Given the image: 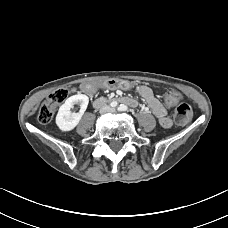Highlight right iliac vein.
Returning a JSON list of instances; mask_svg holds the SVG:
<instances>
[{"mask_svg": "<svg viewBox=\"0 0 228 228\" xmlns=\"http://www.w3.org/2000/svg\"><path fill=\"white\" fill-rule=\"evenodd\" d=\"M107 111V109H102L101 113H105Z\"/></svg>", "mask_w": 228, "mask_h": 228, "instance_id": "right-iliac-vein-1", "label": "right iliac vein"}]
</instances>
